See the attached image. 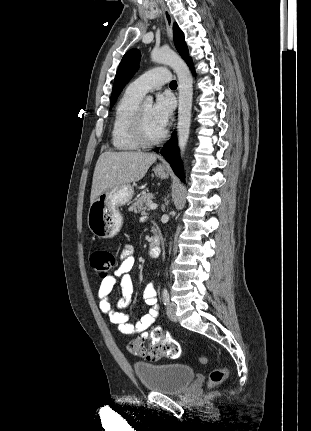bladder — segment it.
Listing matches in <instances>:
<instances>
[{
    "instance_id": "1",
    "label": "bladder",
    "mask_w": 311,
    "mask_h": 431,
    "mask_svg": "<svg viewBox=\"0 0 311 431\" xmlns=\"http://www.w3.org/2000/svg\"><path fill=\"white\" fill-rule=\"evenodd\" d=\"M134 373L141 385L150 392L178 394L193 381L194 370L185 364L136 363Z\"/></svg>"
}]
</instances>
